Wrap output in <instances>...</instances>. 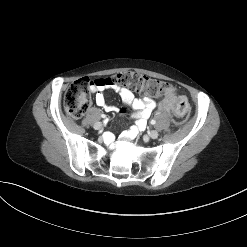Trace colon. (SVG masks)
<instances>
[{
    "label": "colon",
    "mask_w": 247,
    "mask_h": 247,
    "mask_svg": "<svg viewBox=\"0 0 247 247\" xmlns=\"http://www.w3.org/2000/svg\"><path fill=\"white\" fill-rule=\"evenodd\" d=\"M103 82L130 87L144 94L155 96L165 94L161 107L174 111L179 117H183L187 113L186 99L183 96H178L167 82L134 72H126L105 79V81L82 78L73 82L64 97V107L68 116L73 119H79L89 107V90L93 85Z\"/></svg>",
    "instance_id": "obj_1"
}]
</instances>
